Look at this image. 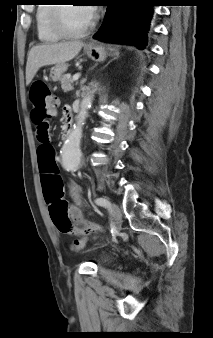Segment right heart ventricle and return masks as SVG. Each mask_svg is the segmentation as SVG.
<instances>
[{"mask_svg":"<svg viewBox=\"0 0 213 338\" xmlns=\"http://www.w3.org/2000/svg\"><path fill=\"white\" fill-rule=\"evenodd\" d=\"M37 5L36 9V31L38 39L42 42L54 43L57 42L61 37H59L50 27L51 20V10L52 5L46 1H41Z\"/></svg>","mask_w":213,"mask_h":338,"instance_id":"1","label":"right heart ventricle"}]
</instances>
